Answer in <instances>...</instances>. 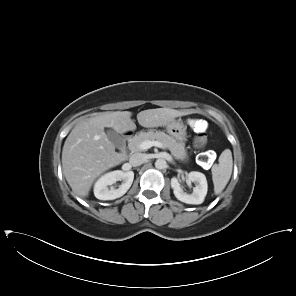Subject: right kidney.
Segmentation results:
<instances>
[{
    "mask_svg": "<svg viewBox=\"0 0 296 296\" xmlns=\"http://www.w3.org/2000/svg\"><path fill=\"white\" fill-rule=\"evenodd\" d=\"M134 179L133 171L115 170L102 175L94 184V195L99 200H114L123 196L131 187ZM123 181L119 188H109L117 181Z\"/></svg>",
    "mask_w": 296,
    "mask_h": 296,
    "instance_id": "ca27d5eb",
    "label": "right kidney"
}]
</instances>
